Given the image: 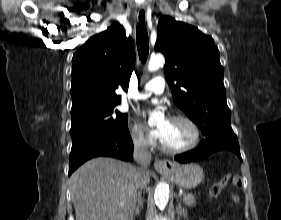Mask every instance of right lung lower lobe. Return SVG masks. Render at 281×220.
Here are the masks:
<instances>
[{"mask_svg": "<svg viewBox=\"0 0 281 220\" xmlns=\"http://www.w3.org/2000/svg\"><path fill=\"white\" fill-rule=\"evenodd\" d=\"M133 155L130 136L106 139L102 137L82 139L72 143L69 158V176L85 161L99 156H108L129 161Z\"/></svg>", "mask_w": 281, "mask_h": 220, "instance_id": "right-lung-lower-lobe-1", "label": "right lung lower lobe"}]
</instances>
